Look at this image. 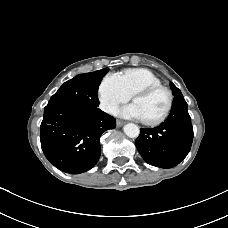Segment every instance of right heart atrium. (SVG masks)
<instances>
[{"instance_id": "obj_1", "label": "right heart atrium", "mask_w": 228, "mask_h": 228, "mask_svg": "<svg viewBox=\"0 0 228 228\" xmlns=\"http://www.w3.org/2000/svg\"><path fill=\"white\" fill-rule=\"evenodd\" d=\"M99 106L105 113H112L115 108L130 99V94L124 89L118 74L105 75L98 86Z\"/></svg>"}]
</instances>
